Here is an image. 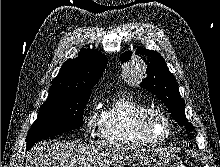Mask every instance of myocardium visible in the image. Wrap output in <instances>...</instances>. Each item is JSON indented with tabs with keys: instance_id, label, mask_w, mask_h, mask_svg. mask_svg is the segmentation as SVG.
<instances>
[{
	"instance_id": "f54148a6",
	"label": "myocardium",
	"mask_w": 220,
	"mask_h": 167,
	"mask_svg": "<svg viewBox=\"0 0 220 167\" xmlns=\"http://www.w3.org/2000/svg\"><path fill=\"white\" fill-rule=\"evenodd\" d=\"M152 116H159L166 122L168 126V132L165 136L160 138H155L150 134L148 129V121ZM137 128L142 138L147 143H151V144H160L165 142L170 138L174 130L172 120L167 113H165L159 108H149V107L140 114L137 121Z\"/></svg>"
}]
</instances>
